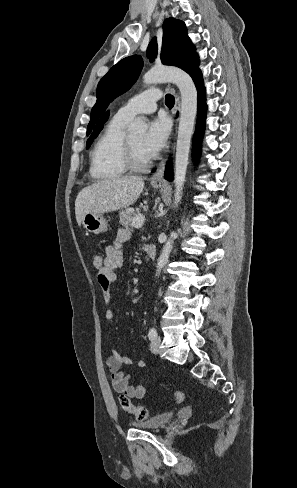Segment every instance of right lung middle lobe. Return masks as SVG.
<instances>
[{"label": "right lung middle lobe", "instance_id": "right-lung-middle-lobe-1", "mask_svg": "<svg viewBox=\"0 0 297 488\" xmlns=\"http://www.w3.org/2000/svg\"><path fill=\"white\" fill-rule=\"evenodd\" d=\"M99 132H100V130L97 132V134H96L95 136H93L92 138H90V139L88 140V142H87V147H86L87 149L89 148V146H90L91 142L93 141V139H94V138H95V137H96V136L99 134Z\"/></svg>", "mask_w": 297, "mask_h": 488}]
</instances>
